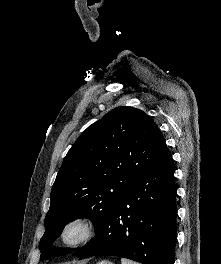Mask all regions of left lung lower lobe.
<instances>
[{
    "instance_id": "0a47b994",
    "label": "left lung lower lobe",
    "mask_w": 221,
    "mask_h": 264,
    "mask_svg": "<svg viewBox=\"0 0 221 264\" xmlns=\"http://www.w3.org/2000/svg\"><path fill=\"white\" fill-rule=\"evenodd\" d=\"M176 215L174 168L166 147L154 165L119 199L95 237L74 255H109L142 264H174Z\"/></svg>"
}]
</instances>
